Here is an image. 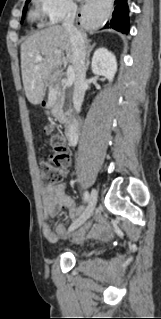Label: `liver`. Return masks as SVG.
Returning a JSON list of instances; mask_svg holds the SVG:
<instances>
[{"label": "liver", "instance_id": "1", "mask_svg": "<svg viewBox=\"0 0 161 319\" xmlns=\"http://www.w3.org/2000/svg\"><path fill=\"white\" fill-rule=\"evenodd\" d=\"M85 45L90 42L87 34L80 32ZM64 51L67 60L73 63V50L69 33L63 26H52L29 36L21 45V71L24 90L31 104H40L48 81L63 62ZM38 56H44L41 61Z\"/></svg>", "mask_w": 161, "mask_h": 319}]
</instances>
